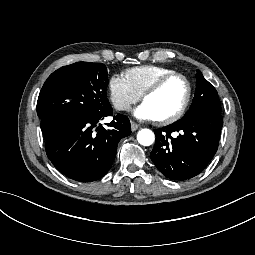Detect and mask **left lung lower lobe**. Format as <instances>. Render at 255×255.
I'll list each match as a JSON object with an SVG mask.
<instances>
[{
  "label": "left lung lower lobe",
  "instance_id": "obj_1",
  "mask_svg": "<svg viewBox=\"0 0 255 255\" xmlns=\"http://www.w3.org/2000/svg\"><path fill=\"white\" fill-rule=\"evenodd\" d=\"M223 120L219 112L197 109L156 129L150 153L157 169L170 180L185 181L200 174L218 149Z\"/></svg>",
  "mask_w": 255,
  "mask_h": 255
}]
</instances>
